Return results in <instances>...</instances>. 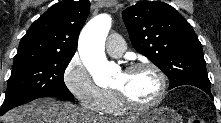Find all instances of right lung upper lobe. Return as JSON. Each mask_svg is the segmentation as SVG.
I'll return each instance as SVG.
<instances>
[{
  "label": "right lung upper lobe",
  "mask_w": 221,
  "mask_h": 123,
  "mask_svg": "<svg viewBox=\"0 0 221 123\" xmlns=\"http://www.w3.org/2000/svg\"><path fill=\"white\" fill-rule=\"evenodd\" d=\"M89 9L88 0L54 4L30 26L20 41L18 51L75 54L79 32Z\"/></svg>",
  "instance_id": "obj_1"
}]
</instances>
